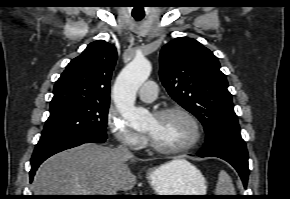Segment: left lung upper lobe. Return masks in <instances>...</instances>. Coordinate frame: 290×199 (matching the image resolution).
<instances>
[{
    "label": "left lung upper lobe",
    "mask_w": 290,
    "mask_h": 199,
    "mask_svg": "<svg viewBox=\"0 0 290 199\" xmlns=\"http://www.w3.org/2000/svg\"><path fill=\"white\" fill-rule=\"evenodd\" d=\"M160 79L169 95L203 124L206 145L241 137L226 76L217 57L198 41L179 37L166 44Z\"/></svg>",
    "instance_id": "1"
}]
</instances>
